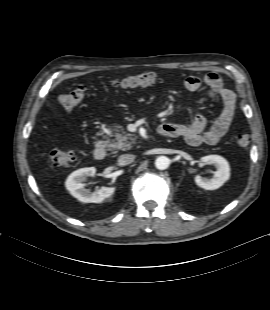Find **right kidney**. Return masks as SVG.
Instances as JSON below:
<instances>
[{"instance_id":"1","label":"right kidney","mask_w":270,"mask_h":310,"mask_svg":"<svg viewBox=\"0 0 270 310\" xmlns=\"http://www.w3.org/2000/svg\"><path fill=\"white\" fill-rule=\"evenodd\" d=\"M96 173L95 167L81 168L72 172L66 182L65 186L70 194L84 203H101L104 199L110 197L114 191V187H102L101 189L90 192L85 188L83 183L87 177L94 176Z\"/></svg>"}]
</instances>
